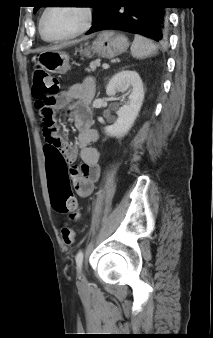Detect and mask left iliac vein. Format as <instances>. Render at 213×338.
I'll use <instances>...</instances> for the list:
<instances>
[{
  "instance_id": "obj_1",
  "label": "left iliac vein",
  "mask_w": 213,
  "mask_h": 338,
  "mask_svg": "<svg viewBox=\"0 0 213 338\" xmlns=\"http://www.w3.org/2000/svg\"><path fill=\"white\" fill-rule=\"evenodd\" d=\"M78 278L81 279V280H84V273H83L81 268L78 271Z\"/></svg>"
}]
</instances>
